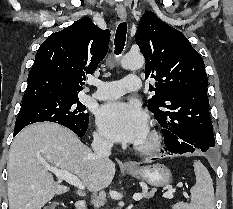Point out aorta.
I'll return each mask as SVG.
<instances>
[{
  "mask_svg": "<svg viewBox=\"0 0 233 209\" xmlns=\"http://www.w3.org/2000/svg\"><path fill=\"white\" fill-rule=\"evenodd\" d=\"M145 63L141 54H126L121 60V66L124 69L136 70L143 67Z\"/></svg>",
  "mask_w": 233,
  "mask_h": 209,
  "instance_id": "762f6f07",
  "label": "aorta"
}]
</instances>
